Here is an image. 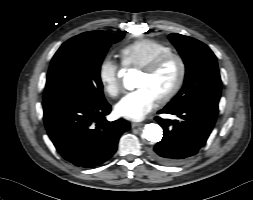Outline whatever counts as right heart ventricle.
Here are the masks:
<instances>
[{"label": "right heart ventricle", "instance_id": "1", "mask_svg": "<svg viewBox=\"0 0 253 200\" xmlns=\"http://www.w3.org/2000/svg\"><path fill=\"white\" fill-rule=\"evenodd\" d=\"M170 46L149 38L134 41L121 49L122 63L126 68L142 69L157 58L172 53Z\"/></svg>", "mask_w": 253, "mask_h": 200}]
</instances>
